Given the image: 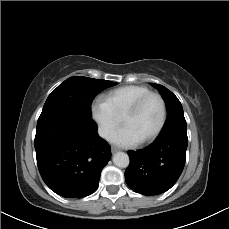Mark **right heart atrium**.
<instances>
[{
    "instance_id": "1",
    "label": "right heart atrium",
    "mask_w": 229,
    "mask_h": 229,
    "mask_svg": "<svg viewBox=\"0 0 229 229\" xmlns=\"http://www.w3.org/2000/svg\"><path fill=\"white\" fill-rule=\"evenodd\" d=\"M90 111L100 135L108 141L113 140L121 126V119L114 114L104 99L93 101Z\"/></svg>"
}]
</instances>
